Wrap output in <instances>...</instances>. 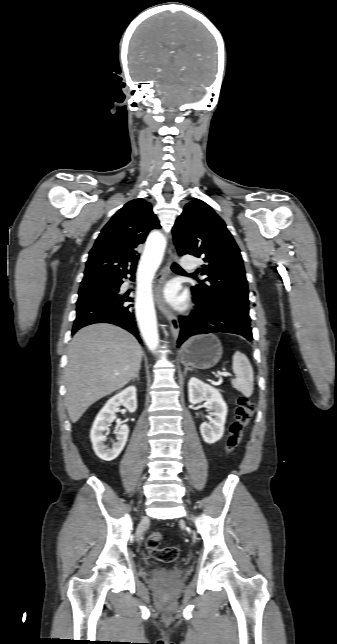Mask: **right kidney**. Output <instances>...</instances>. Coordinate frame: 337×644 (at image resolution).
<instances>
[{"label": "right kidney", "mask_w": 337, "mask_h": 644, "mask_svg": "<svg viewBox=\"0 0 337 644\" xmlns=\"http://www.w3.org/2000/svg\"><path fill=\"white\" fill-rule=\"evenodd\" d=\"M136 391L134 386L127 387L108 400L96 416L90 432V438L93 450L100 459L112 461L123 450L128 439L129 427L127 425H121L115 432L117 441L113 443L112 448L104 445L106 441L104 431L108 430L111 422L115 418V412L120 405L125 406L130 412H134L137 409Z\"/></svg>", "instance_id": "right-kidney-1"}]
</instances>
